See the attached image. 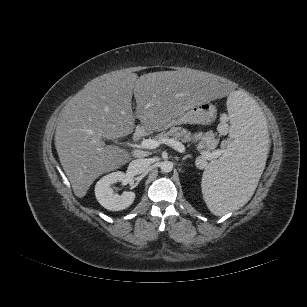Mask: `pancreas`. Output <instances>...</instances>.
Here are the masks:
<instances>
[{
	"label": "pancreas",
	"mask_w": 307,
	"mask_h": 307,
	"mask_svg": "<svg viewBox=\"0 0 307 307\" xmlns=\"http://www.w3.org/2000/svg\"><path fill=\"white\" fill-rule=\"evenodd\" d=\"M173 138L175 140H181L184 143L190 142L192 139L191 132L183 127H171L167 132H161L156 135L155 138L162 140V139H168ZM216 147V142L212 141L211 143H199L197 145L198 151L203 153H210L211 150H213ZM207 148V150H204Z\"/></svg>",
	"instance_id": "obj_1"
}]
</instances>
